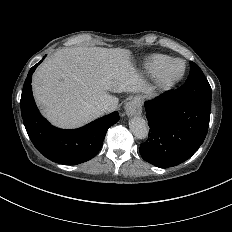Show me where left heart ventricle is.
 I'll list each match as a JSON object with an SVG mask.
<instances>
[{
  "label": "left heart ventricle",
  "instance_id": "left-heart-ventricle-1",
  "mask_svg": "<svg viewBox=\"0 0 232 232\" xmlns=\"http://www.w3.org/2000/svg\"><path fill=\"white\" fill-rule=\"evenodd\" d=\"M182 69V65L181 64H178L177 66H176V71H180Z\"/></svg>",
  "mask_w": 232,
  "mask_h": 232
}]
</instances>
